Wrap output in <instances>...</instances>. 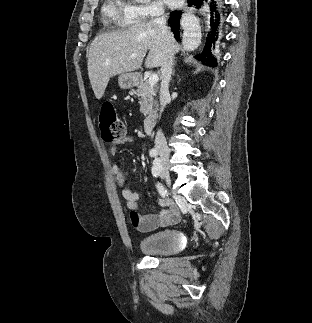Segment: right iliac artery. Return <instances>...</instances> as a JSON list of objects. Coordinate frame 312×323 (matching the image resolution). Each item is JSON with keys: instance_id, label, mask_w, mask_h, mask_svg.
Instances as JSON below:
<instances>
[{"instance_id": "right-iliac-artery-1", "label": "right iliac artery", "mask_w": 312, "mask_h": 323, "mask_svg": "<svg viewBox=\"0 0 312 323\" xmlns=\"http://www.w3.org/2000/svg\"><path fill=\"white\" fill-rule=\"evenodd\" d=\"M153 164L158 170H160V168L162 167L161 160L159 158H156L154 160ZM157 189L162 197L166 196L167 190L160 183L157 184Z\"/></svg>"}]
</instances>
